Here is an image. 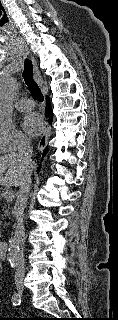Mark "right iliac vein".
Segmentation results:
<instances>
[{
	"label": "right iliac vein",
	"mask_w": 118,
	"mask_h": 320,
	"mask_svg": "<svg viewBox=\"0 0 118 320\" xmlns=\"http://www.w3.org/2000/svg\"><path fill=\"white\" fill-rule=\"evenodd\" d=\"M17 289L21 292L23 290V286L22 285H18Z\"/></svg>",
	"instance_id": "63e3f726"
}]
</instances>
